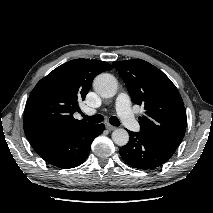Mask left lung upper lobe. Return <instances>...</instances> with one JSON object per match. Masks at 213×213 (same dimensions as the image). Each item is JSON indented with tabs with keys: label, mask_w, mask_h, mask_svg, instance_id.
Instances as JSON below:
<instances>
[{
	"label": "left lung upper lobe",
	"mask_w": 213,
	"mask_h": 213,
	"mask_svg": "<svg viewBox=\"0 0 213 213\" xmlns=\"http://www.w3.org/2000/svg\"><path fill=\"white\" fill-rule=\"evenodd\" d=\"M135 104L143 105L140 132L149 139L178 147L187 125L178 89L158 68L141 59L115 61Z\"/></svg>",
	"instance_id": "obj_1"
}]
</instances>
